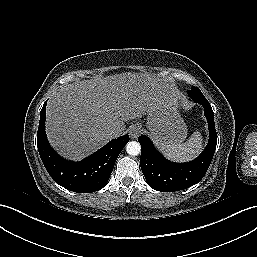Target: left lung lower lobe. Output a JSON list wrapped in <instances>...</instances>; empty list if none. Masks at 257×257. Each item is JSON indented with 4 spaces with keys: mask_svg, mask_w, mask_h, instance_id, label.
<instances>
[{
    "mask_svg": "<svg viewBox=\"0 0 257 257\" xmlns=\"http://www.w3.org/2000/svg\"><path fill=\"white\" fill-rule=\"evenodd\" d=\"M194 101L204 108L210 137L207 147L195 160L188 163L171 162L156 151L147 136L142 135L138 138L142 147L141 169L147 183L154 190L173 192L191 187L203 178L210 166L217 144L214 113L205 97Z\"/></svg>",
    "mask_w": 257,
    "mask_h": 257,
    "instance_id": "left-lung-lower-lobe-1",
    "label": "left lung lower lobe"
}]
</instances>
